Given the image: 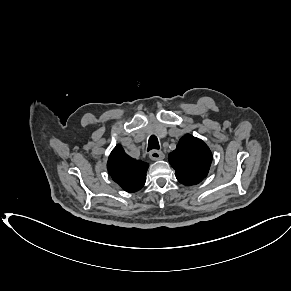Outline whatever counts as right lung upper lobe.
Segmentation results:
<instances>
[{"label": "right lung upper lobe", "instance_id": "right-lung-upper-lobe-1", "mask_svg": "<svg viewBox=\"0 0 291 291\" xmlns=\"http://www.w3.org/2000/svg\"><path fill=\"white\" fill-rule=\"evenodd\" d=\"M148 167V163L128 156L121 145L113 149L107 162L108 173L127 192H136L144 186Z\"/></svg>", "mask_w": 291, "mask_h": 291}]
</instances>
